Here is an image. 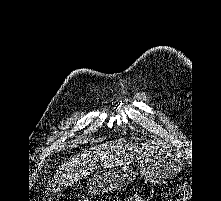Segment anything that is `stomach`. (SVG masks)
<instances>
[{
  "instance_id": "0dacf381",
  "label": "stomach",
  "mask_w": 221,
  "mask_h": 201,
  "mask_svg": "<svg viewBox=\"0 0 221 201\" xmlns=\"http://www.w3.org/2000/svg\"><path fill=\"white\" fill-rule=\"evenodd\" d=\"M182 161L177 154L158 150L144 156L139 165L141 178L152 184H163L178 175ZM136 176L135 171L124 166L92 177L87 183L93 195L117 191L130 184Z\"/></svg>"
}]
</instances>
